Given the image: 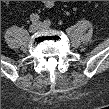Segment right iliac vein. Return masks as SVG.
I'll return each mask as SVG.
<instances>
[{
    "label": "right iliac vein",
    "instance_id": "obj_1",
    "mask_svg": "<svg viewBox=\"0 0 109 109\" xmlns=\"http://www.w3.org/2000/svg\"><path fill=\"white\" fill-rule=\"evenodd\" d=\"M39 28H40V27H39V25H38L37 23H33V24L30 25L29 31H30L31 33H34V32H36Z\"/></svg>",
    "mask_w": 109,
    "mask_h": 109
}]
</instances>
